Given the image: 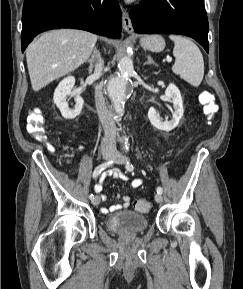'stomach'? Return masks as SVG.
<instances>
[{"mask_svg": "<svg viewBox=\"0 0 243 289\" xmlns=\"http://www.w3.org/2000/svg\"><path fill=\"white\" fill-rule=\"evenodd\" d=\"M140 44L152 52H160L165 48V41L160 35L144 36L140 39Z\"/></svg>", "mask_w": 243, "mask_h": 289, "instance_id": "0dacf381", "label": "stomach"}]
</instances>
